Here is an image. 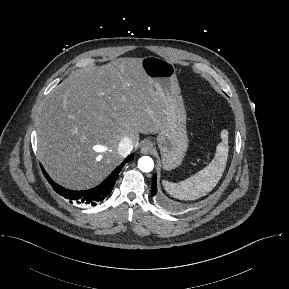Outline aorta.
I'll return each instance as SVG.
<instances>
[{
  "label": "aorta",
  "mask_w": 289,
  "mask_h": 289,
  "mask_svg": "<svg viewBox=\"0 0 289 289\" xmlns=\"http://www.w3.org/2000/svg\"><path fill=\"white\" fill-rule=\"evenodd\" d=\"M138 167L142 172H151L154 168V161L149 156H143L138 160Z\"/></svg>",
  "instance_id": "1"
}]
</instances>
